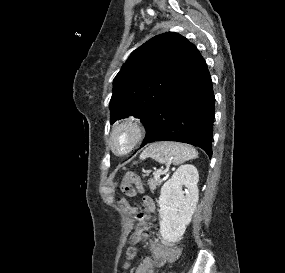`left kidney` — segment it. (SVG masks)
I'll list each match as a JSON object with an SVG mask.
<instances>
[{
    "mask_svg": "<svg viewBox=\"0 0 285 273\" xmlns=\"http://www.w3.org/2000/svg\"><path fill=\"white\" fill-rule=\"evenodd\" d=\"M199 174L195 166H180L161 188L160 233L164 242L174 243L183 236L198 202ZM185 186V192L182 186ZM186 194V195H184Z\"/></svg>",
    "mask_w": 285,
    "mask_h": 273,
    "instance_id": "obj_1",
    "label": "left kidney"
}]
</instances>
